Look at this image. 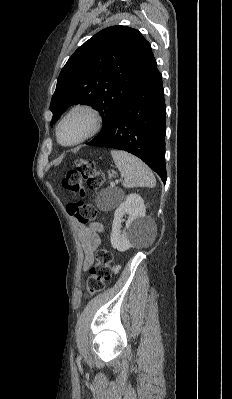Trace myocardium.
Returning <instances> with one entry per match:
<instances>
[{
    "label": "myocardium",
    "instance_id": "myocardium-1",
    "mask_svg": "<svg viewBox=\"0 0 232 399\" xmlns=\"http://www.w3.org/2000/svg\"><path fill=\"white\" fill-rule=\"evenodd\" d=\"M78 111L86 112L90 116L91 127H90L89 131L84 136H82L80 139H78L74 142H71V143H65L61 138V132H60L61 127L68 117H70L72 114H74L75 112H78ZM102 125H103V118H102L101 112L95 106L89 105V104H77V105L71 107L62 116V118L58 122V125L56 128V135H57L59 142L62 145L74 146V145H78V144L88 140L89 138L93 137L94 135H96L101 130Z\"/></svg>",
    "mask_w": 232,
    "mask_h": 399
}]
</instances>
